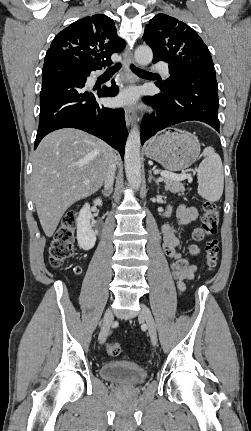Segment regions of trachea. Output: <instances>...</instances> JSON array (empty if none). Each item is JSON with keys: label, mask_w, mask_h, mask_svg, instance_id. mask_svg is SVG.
Instances as JSON below:
<instances>
[{"label": "trachea", "mask_w": 251, "mask_h": 431, "mask_svg": "<svg viewBox=\"0 0 251 431\" xmlns=\"http://www.w3.org/2000/svg\"><path fill=\"white\" fill-rule=\"evenodd\" d=\"M119 68H120V64H117V65H115L114 67H109V68L106 70V73H108V74H114V73H116V72L119 70ZM131 69H132V71H133L134 73H136V74H138V75H150V74H151L150 72H147V71L141 70V69H139V68L135 67L134 65H131Z\"/></svg>", "instance_id": "obj_1"}]
</instances>
